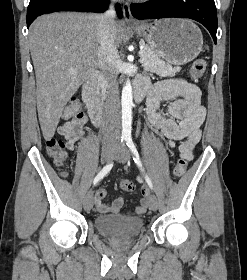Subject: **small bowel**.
Returning <instances> with one entry per match:
<instances>
[{
	"mask_svg": "<svg viewBox=\"0 0 247 280\" xmlns=\"http://www.w3.org/2000/svg\"><path fill=\"white\" fill-rule=\"evenodd\" d=\"M137 87L149 89L146 103V113L152 126L160 130L163 140L170 146L175 147L179 142V154L183 159L191 160L196 144L201 138V125L206 116V110L201 105V91L196 85L184 80L167 79L149 86L145 78H140ZM169 101V113L171 117H164L159 112L161 102ZM86 117L72 118L61 124L57 128V134L65 140V146L72 151L75 142L86 136ZM141 182V178H139ZM107 190L98 189L95 195V207L103 214H116L123 206L124 200L116 198L112 203H105ZM143 196L140 205L136 208V213H144L147 210L148 190L141 189Z\"/></svg>",
	"mask_w": 247,
	"mask_h": 280,
	"instance_id": "c3829d8e",
	"label": "small bowel"
}]
</instances>
